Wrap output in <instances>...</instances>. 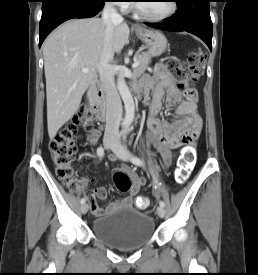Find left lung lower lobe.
<instances>
[{
    "mask_svg": "<svg viewBox=\"0 0 258 275\" xmlns=\"http://www.w3.org/2000/svg\"><path fill=\"white\" fill-rule=\"evenodd\" d=\"M210 0H176V14L161 24L146 23V25L167 30L187 31L201 38L212 49V22L210 17Z\"/></svg>",
    "mask_w": 258,
    "mask_h": 275,
    "instance_id": "0a47b994",
    "label": "left lung lower lobe"
}]
</instances>
